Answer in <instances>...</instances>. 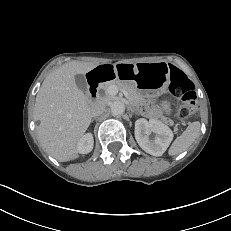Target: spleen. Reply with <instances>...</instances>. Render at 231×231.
I'll return each instance as SVG.
<instances>
[{"mask_svg": "<svg viewBox=\"0 0 231 231\" xmlns=\"http://www.w3.org/2000/svg\"><path fill=\"white\" fill-rule=\"evenodd\" d=\"M199 132L200 123L198 121L191 123L187 129L174 140L168 150L169 155L175 156L188 149L199 136Z\"/></svg>", "mask_w": 231, "mask_h": 231, "instance_id": "spleen-1", "label": "spleen"}]
</instances>
